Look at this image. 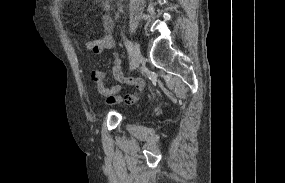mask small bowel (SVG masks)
Wrapping results in <instances>:
<instances>
[{"label":"small bowel","instance_id":"small-bowel-1","mask_svg":"<svg viewBox=\"0 0 285 183\" xmlns=\"http://www.w3.org/2000/svg\"><path fill=\"white\" fill-rule=\"evenodd\" d=\"M112 0H98V6L103 10L101 17V26L103 35L94 41L86 44L87 49L94 55H100L104 50L113 49L115 41L113 38L114 21L110 15ZM114 78L122 83H126L136 87L137 92L125 96L128 103L134 102L138 98V93L144 89V81L141 78H126L121 71V60L118 54H114ZM91 79L96 84L98 92L106 98L107 104L118 103L122 100L118 93L121 89L120 85H114L110 88L105 86V74L101 70L95 69L91 72Z\"/></svg>","mask_w":285,"mask_h":183}]
</instances>
